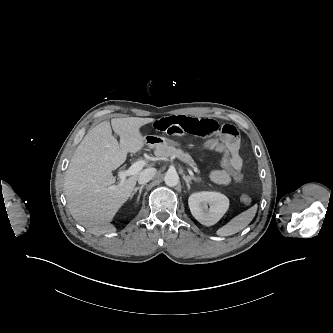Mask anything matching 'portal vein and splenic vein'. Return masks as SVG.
<instances>
[{
  "label": "portal vein and splenic vein",
  "mask_w": 333,
  "mask_h": 333,
  "mask_svg": "<svg viewBox=\"0 0 333 333\" xmlns=\"http://www.w3.org/2000/svg\"><path fill=\"white\" fill-rule=\"evenodd\" d=\"M146 164H147V162L145 160H139V161L135 162L134 164H132L127 170L120 171L118 174L120 182L123 184L127 177L138 173ZM192 176H193V174H192Z\"/></svg>",
  "instance_id": "1"
}]
</instances>
